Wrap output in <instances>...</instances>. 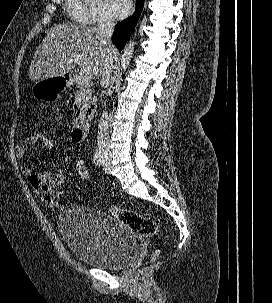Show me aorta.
Returning a JSON list of instances; mask_svg holds the SVG:
<instances>
[{"label": "aorta", "mask_w": 272, "mask_h": 303, "mask_svg": "<svg viewBox=\"0 0 272 303\" xmlns=\"http://www.w3.org/2000/svg\"><path fill=\"white\" fill-rule=\"evenodd\" d=\"M134 46L135 42L129 41L123 49V52L121 54V66L123 71H126L130 64V60L134 52Z\"/></svg>", "instance_id": "1"}]
</instances>
